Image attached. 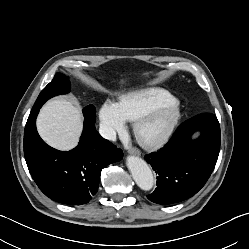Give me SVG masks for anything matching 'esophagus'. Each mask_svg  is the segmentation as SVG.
<instances>
[{
	"instance_id": "esophagus-1",
	"label": "esophagus",
	"mask_w": 249,
	"mask_h": 249,
	"mask_svg": "<svg viewBox=\"0 0 249 249\" xmlns=\"http://www.w3.org/2000/svg\"><path fill=\"white\" fill-rule=\"evenodd\" d=\"M128 152L131 155H136V156H140L141 155V151L138 148H136V147L130 148Z\"/></svg>"
}]
</instances>
